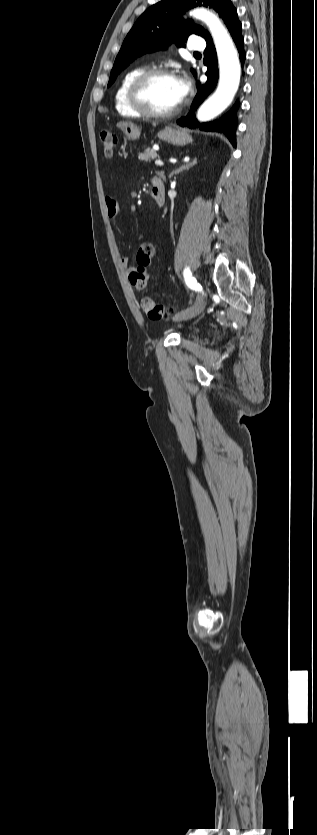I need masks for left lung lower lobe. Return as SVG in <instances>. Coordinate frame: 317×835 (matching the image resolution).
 Instances as JSON below:
<instances>
[{"instance_id":"0a47b994","label":"left lung lower lobe","mask_w":317,"mask_h":835,"mask_svg":"<svg viewBox=\"0 0 317 835\" xmlns=\"http://www.w3.org/2000/svg\"><path fill=\"white\" fill-rule=\"evenodd\" d=\"M228 12L229 16L227 17L225 24L231 33V36L237 46L240 61L243 63L246 58V54L244 52V38L242 37L241 30L242 25L238 19L237 11L231 1L228 2L226 5L224 12ZM207 41V48L204 51V64L207 66L206 75L208 80L205 84L200 85L197 82V95L194 98V101L191 105L190 111L186 117L181 118L178 121V124L181 126H187L189 128H199L203 131H217L224 133L233 146H236L235 140V130L237 127V118H236V111L238 109V102L231 108L229 112L223 115L220 119L206 122V123H199L195 118V110L196 108L203 102V100L212 92L215 88L217 81H218V68H217V56L216 50L213 44V40L210 37Z\"/></svg>"}]
</instances>
